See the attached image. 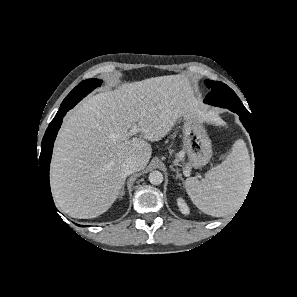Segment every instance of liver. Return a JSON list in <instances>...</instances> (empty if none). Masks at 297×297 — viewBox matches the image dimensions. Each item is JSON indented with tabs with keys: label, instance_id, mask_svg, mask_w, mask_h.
Returning a JSON list of instances; mask_svg holds the SVG:
<instances>
[{
	"label": "liver",
	"instance_id": "6515ba94",
	"mask_svg": "<svg viewBox=\"0 0 297 297\" xmlns=\"http://www.w3.org/2000/svg\"><path fill=\"white\" fill-rule=\"evenodd\" d=\"M190 116L205 120L180 75L125 83L85 99L66 115L56 139L50 184L57 207L79 219L106 212L126 179L122 164L132 158L137 171L144 169L152 153L147 141L162 139ZM135 125L138 137L131 135Z\"/></svg>",
	"mask_w": 297,
	"mask_h": 297
}]
</instances>
